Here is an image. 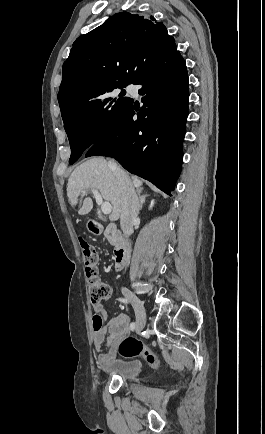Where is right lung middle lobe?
<instances>
[{"label": "right lung middle lobe", "instance_id": "right-lung-middle-lobe-1", "mask_svg": "<svg viewBox=\"0 0 265 434\" xmlns=\"http://www.w3.org/2000/svg\"><path fill=\"white\" fill-rule=\"evenodd\" d=\"M129 83L132 82L105 80L58 98L71 147L70 164L108 134L127 113L133 99L125 96V90L118 93L117 89Z\"/></svg>", "mask_w": 265, "mask_h": 434}]
</instances>
